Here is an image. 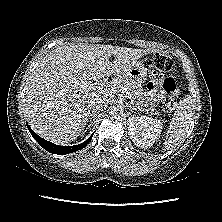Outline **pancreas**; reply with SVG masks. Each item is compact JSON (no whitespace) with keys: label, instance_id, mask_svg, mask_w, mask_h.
Masks as SVG:
<instances>
[{"label":"pancreas","instance_id":"obj_1","mask_svg":"<svg viewBox=\"0 0 222 222\" xmlns=\"http://www.w3.org/2000/svg\"><path fill=\"white\" fill-rule=\"evenodd\" d=\"M115 86H118L119 89H126L129 91V98L135 103L137 106H140L141 96L143 94V90L141 86H137L129 80L119 79L115 82Z\"/></svg>","mask_w":222,"mask_h":222}]
</instances>
